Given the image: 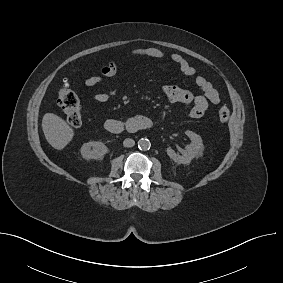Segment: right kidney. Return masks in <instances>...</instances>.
Instances as JSON below:
<instances>
[{"label": "right kidney", "instance_id": "obj_1", "mask_svg": "<svg viewBox=\"0 0 283 283\" xmlns=\"http://www.w3.org/2000/svg\"><path fill=\"white\" fill-rule=\"evenodd\" d=\"M107 152L104 143L97 141L87 142L81 147V155L85 159H102Z\"/></svg>", "mask_w": 283, "mask_h": 283}]
</instances>
